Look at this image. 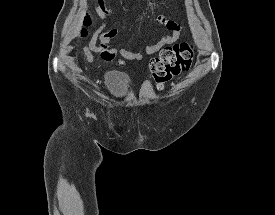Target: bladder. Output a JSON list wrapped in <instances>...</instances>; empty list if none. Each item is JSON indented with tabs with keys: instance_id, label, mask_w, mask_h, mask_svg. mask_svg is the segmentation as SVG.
I'll return each instance as SVG.
<instances>
[{
	"instance_id": "1",
	"label": "bladder",
	"mask_w": 275,
	"mask_h": 215,
	"mask_svg": "<svg viewBox=\"0 0 275 215\" xmlns=\"http://www.w3.org/2000/svg\"><path fill=\"white\" fill-rule=\"evenodd\" d=\"M104 84L116 95H125L131 90V79L129 76L118 71H107L104 74Z\"/></svg>"
}]
</instances>
